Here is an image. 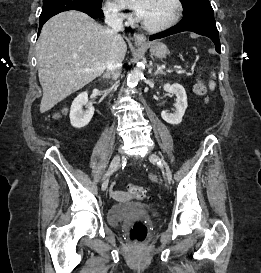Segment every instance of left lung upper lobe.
I'll list each match as a JSON object with an SVG mask.
<instances>
[{
  "mask_svg": "<svg viewBox=\"0 0 261 273\" xmlns=\"http://www.w3.org/2000/svg\"><path fill=\"white\" fill-rule=\"evenodd\" d=\"M180 1L183 5V8L185 9V8L190 7L194 3L199 2V1H203V0H180Z\"/></svg>",
  "mask_w": 261,
  "mask_h": 273,
  "instance_id": "1",
  "label": "left lung upper lobe"
}]
</instances>
